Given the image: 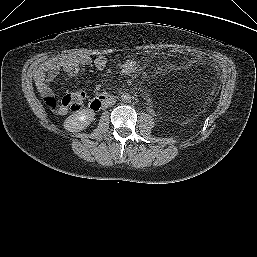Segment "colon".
I'll return each instance as SVG.
<instances>
[{"label": "colon", "instance_id": "colon-1", "mask_svg": "<svg viewBox=\"0 0 257 257\" xmlns=\"http://www.w3.org/2000/svg\"><path fill=\"white\" fill-rule=\"evenodd\" d=\"M175 53H180L183 55H192L193 52L184 49H175ZM85 100V94L83 92H71L66 94L61 101H58L54 97H49L46 99V104L52 109L57 110L60 107L69 108L71 110H79L82 108Z\"/></svg>", "mask_w": 257, "mask_h": 257}]
</instances>
